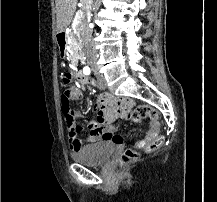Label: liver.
<instances>
[{
    "mask_svg": "<svg viewBox=\"0 0 217 202\" xmlns=\"http://www.w3.org/2000/svg\"><path fill=\"white\" fill-rule=\"evenodd\" d=\"M77 0H56L57 34L69 26L76 10Z\"/></svg>",
    "mask_w": 217,
    "mask_h": 202,
    "instance_id": "obj_1",
    "label": "liver"
}]
</instances>
